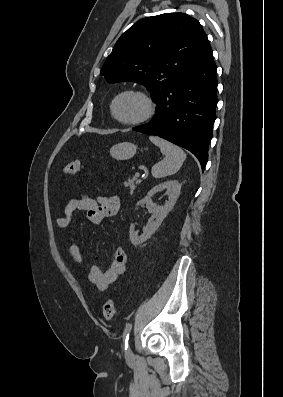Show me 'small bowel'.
<instances>
[{
  "mask_svg": "<svg viewBox=\"0 0 283 397\" xmlns=\"http://www.w3.org/2000/svg\"><path fill=\"white\" fill-rule=\"evenodd\" d=\"M121 207V201L117 196L90 198L85 194L72 197L67 203L64 213L56 218V224L60 228L70 227L73 216L77 211L87 212V219L94 225H99L107 217L116 215ZM69 254L72 259L81 263L83 256L80 246L72 240L69 246ZM127 254L123 247L118 246L114 251L113 259L109 267L103 271L97 264H91L88 268V280L93 283L98 290H106L116 279L126 270Z\"/></svg>",
  "mask_w": 283,
  "mask_h": 397,
  "instance_id": "c3829d8e",
  "label": "small bowel"
}]
</instances>
